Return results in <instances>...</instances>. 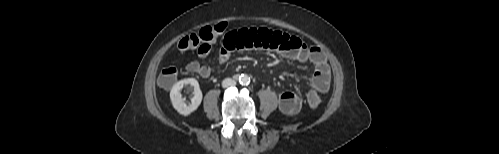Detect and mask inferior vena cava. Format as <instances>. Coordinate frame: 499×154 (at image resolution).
<instances>
[{
    "mask_svg": "<svg viewBox=\"0 0 499 154\" xmlns=\"http://www.w3.org/2000/svg\"><path fill=\"white\" fill-rule=\"evenodd\" d=\"M234 85H236V82H235V80H233V79H231V78H226V79H224V80L222 81V86H223L224 88H226V87H230V86H234Z\"/></svg>",
    "mask_w": 499,
    "mask_h": 154,
    "instance_id": "602c4592",
    "label": "inferior vena cava"
}]
</instances>
